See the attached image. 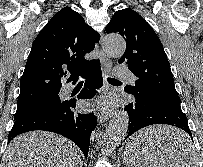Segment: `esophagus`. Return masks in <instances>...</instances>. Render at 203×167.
Returning <instances> with one entry per match:
<instances>
[{
  "mask_svg": "<svg viewBox=\"0 0 203 167\" xmlns=\"http://www.w3.org/2000/svg\"><path fill=\"white\" fill-rule=\"evenodd\" d=\"M101 65H102V72L104 76V84H103V92L108 93L110 91V85L107 83L106 78L110 75L112 62L109 58H107L105 55H102L101 57ZM113 115V112H98L97 119L100 124L106 122L111 118Z\"/></svg>",
  "mask_w": 203,
  "mask_h": 167,
  "instance_id": "1",
  "label": "esophagus"
}]
</instances>
